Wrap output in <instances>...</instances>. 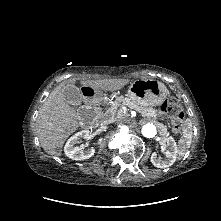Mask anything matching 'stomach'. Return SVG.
I'll list each match as a JSON object with an SVG mask.
<instances>
[{"instance_id":"0dacf381","label":"stomach","mask_w":221,"mask_h":221,"mask_svg":"<svg viewBox=\"0 0 221 221\" xmlns=\"http://www.w3.org/2000/svg\"><path fill=\"white\" fill-rule=\"evenodd\" d=\"M166 86L154 79H138L128 88V98L140 106H156L167 97Z\"/></svg>"}]
</instances>
